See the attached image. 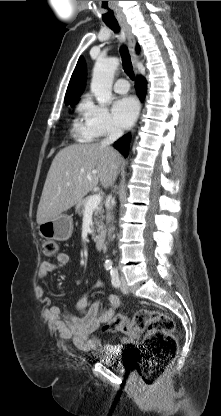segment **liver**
Segmentation results:
<instances>
[{"mask_svg":"<svg viewBox=\"0 0 221 416\" xmlns=\"http://www.w3.org/2000/svg\"><path fill=\"white\" fill-rule=\"evenodd\" d=\"M122 157L100 143L72 144L53 159L37 209L38 224L67 211L98 183L106 189L117 178Z\"/></svg>","mask_w":221,"mask_h":416,"instance_id":"obj_1","label":"liver"}]
</instances>
